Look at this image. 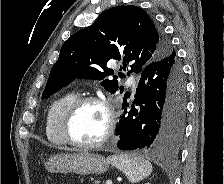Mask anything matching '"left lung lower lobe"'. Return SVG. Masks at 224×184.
<instances>
[{"label":"left lung lower lobe","instance_id":"0a47b994","mask_svg":"<svg viewBox=\"0 0 224 184\" xmlns=\"http://www.w3.org/2000/svg\"><path fill=\"white\" fill-rule=\"evenodd\" d=\"M127 92L116 128L121 150L147 148L169 154L180 144L184 133L186 86L176 53L148 64L141 78L133 104L127 111Z\"/></svg>","mask_w":224,"mask_h":184}]
</instances>
